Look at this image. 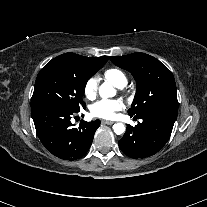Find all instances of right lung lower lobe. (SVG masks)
Instances as JSON below:
<instances>
[{
    "instance_id": "right-lung-lower-lobe-1",
    "label": "right lung lower lobe",
    "mask_w": 207,
    "mask_h": 207,
    "mask_svg": "<svg viewBox=\"0 0 207 207\" xmlns=\"http://www.w3.org/2000/svg\"><path fill=\"white\" fill-rule=\"evenodd\" d=\"M79 112V111H77ZM57 105L31 108L37 135L52 154L65 160H76L89 150L100 120L81 122L78 128L71 123L77 113Z\"/></svg>"
}]
</instances>
